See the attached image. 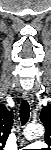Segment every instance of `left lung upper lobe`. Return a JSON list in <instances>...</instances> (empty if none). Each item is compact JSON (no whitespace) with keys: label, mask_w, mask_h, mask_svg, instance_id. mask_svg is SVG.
<instances>
[{"label":"left lung upper lobe","mask_w":51,"mask_h":150,"mask_svg":"<svg viewBox=\"0 0 51 150\" xmlns=\"http://www.w3.org/2000/svg\"><path fill=\"white\" fill-rule=\"evenodd\" d=\"M40 119L46 129L44 140L50 145L51 144V105L45 106L41 113Z\"/></svg>","instance_id":"5c2ea615"}]
</instances>
